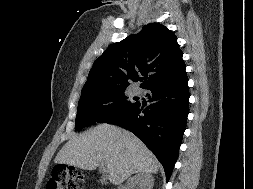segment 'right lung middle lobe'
<instances>
[{"mask_svg": "<svg viewBox=\"0 0 253 189\" xmlns=\"http://www.w3.org/2000/svg\"><path fill=\"white\" fill-rule=\"evenodd\" d=\"M127 87L108 86L81 92L78 103L75 130L96 122L110 119L132 109L136 103L127 100L124 92Z\"/></svg>", "mask_w": 253, "mask_h": 189, "instance_id": "right-lung-middle-lobe-1", "label": "right lung middle lobe"}]
</instances>
